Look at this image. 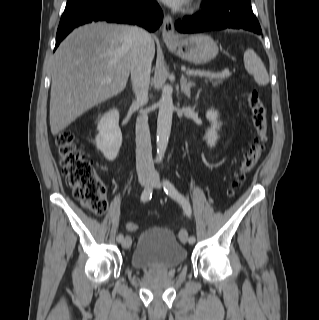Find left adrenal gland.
Instances as JSON below:
<instances>
[{"label": "left adrenal gland", "mask_w": 319, "mask_h": 320, "mask_svg": "<svg viewBox=\"0 0 319 320\" xmlns=\"http://www.w3.org/2000/svg\"><path fill=\"white\" fill-rule=\"evenodd\" d=\"M181 92L184 93L188 98H190L191 87L195 85L193 81H187V79L182 75L180 79Z\"/></svg>", "instance_id": "left-adrenal-gland-1"}]
</instances>
